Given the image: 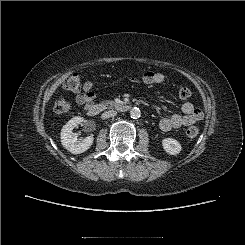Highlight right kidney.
<instances>
[{
    "instance_id": "right-kidney-1",
    "label": "right kidney",
    "mask_w": 245,
    "mask_h": 245,
    "mask_svg": "<svg viewBox=\"0 0 245 245\" xmlns=\"http://www.w3.org/2000/svg\"><path fill=\"white\" fill-rule=\"evenodd\" d=\"M84 119L80 116L73 117L61 130V143L65 149L72 154H80L88 150L93 144L94 137L88 136L85 139H78V135L73 129L82 124Z\"/></svg>"
}]
</instances>
